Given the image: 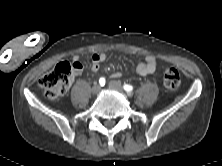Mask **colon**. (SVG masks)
I'll use <instances>...</instances> for the list:
<instances>
[{
  "mask_svg": "<svg viewBox=\"0 0 222 166\" xmlns=\"http://www.w3.org/2000/svg\"><path fill=\"white\" fill-rule=\"evenodd\" d=\"M80 68H82L80 63L60 62L51 71L44 74L39 79L38 84L48 97H61L71 85L75 71ZM163 84L170 91L177 90L181 84L178 70L173 67H166L163 72Z\"/></svg>",
  "mask_w": 222,
  "mask_h": 166,
  "instance_id": "1",
  "label": "colon"
}]
</instances>
